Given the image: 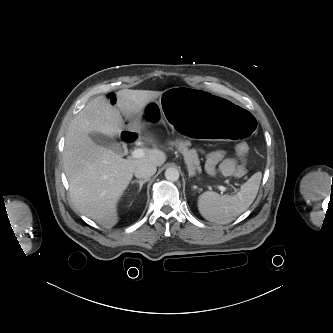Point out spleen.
<instances>
[{
    "mask_svg": "<svg viewBox=\"0 0 333 333\" xmlns=\"http://www.w3.org/2000/svg\"><path fill=\"white\" fill-rule=\"evenodd\" d=\"M262 173L253 174L241 187L237 194L221 196L207 191L198 198V210L203 218L217 223L227 224L246 211L255 200Z\"/></svg>",
    "mask_w": 333,
    "mask_h": 333,
    "instance_id": "obj_1",
    "label": "spleen"
}]
</instances>
